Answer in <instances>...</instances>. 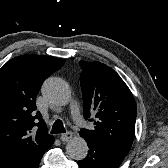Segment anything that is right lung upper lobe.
<instances>
[{
	"instance_id": "right-lung-upper-lobe-1",
	"label": "right lung upper lobe",
	"mask_w": 168,
	"mask_h": 168,
	"mask_svg": "<svg viewBox=\"0 0 168 168\" xmlns=\"http://www.w3.org/2000/svg\"><path fill=\"white\" fill-rule=\"evenodd\" d=\"M63 63L61 58L23 55L0 69V168H35L54 143L40 113L32 112L42 82Z\"/></svg>"
}]
</instances>
